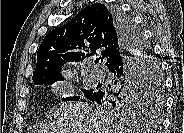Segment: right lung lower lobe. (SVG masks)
Returning a JSON list of instances; mask_svg holds the SVG:
<instances>
[{
    "instance_id": "1",
    "label": "right lung lower lobe",
    "mask_w": 184,
    "mask_h": 133,
    "mask_svg": "<svg viewBox=\"0 0 184 133\" xmlns=\"http://www.w3.org/2000/svg\"><path fill=\"white\" fill-rule=\"evenodd\" d=\"M112 11L121 36L122 47L106 66L114 76L117 89L97 90L86 96L87 99L100 105H110L114 99L127 95L133 86L143 80L147 64L144 45L136 38L131 22L120 10Z\"/></svg>"
}]
</instances>
